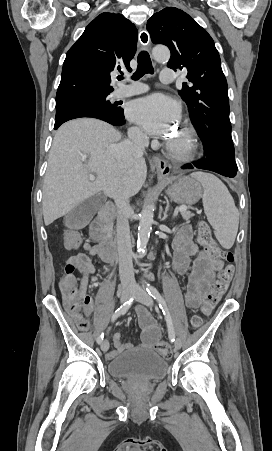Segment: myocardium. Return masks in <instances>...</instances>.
Instances as JSON below:
<instances>
[{
  "label": "myocardium",
  "mask_w": 272,
  "mask_h": 451,
  "mask_svg": "<svg viewBox=\"0 0 272 451\" xmlns=\"http://www.w3.org/2000/svg\"><path fill=\"white\" fill-rule=\"evenodd\" d=\"M184 142L176 145L175 149L177 152H187L191 149L193 141H194V132L189 127L183 128Z\"/></svg>",
  "instance_id": "f54148a6"
}]
</instances>
